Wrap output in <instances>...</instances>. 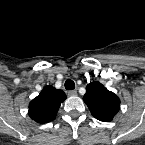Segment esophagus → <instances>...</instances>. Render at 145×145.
Wrapping results in <instances>:
<instances>
[{
  "mask_svg": "<svg viewBox=\"0 0 145 145\" xmlns=\"http://www.w3.org/2000/svg\"><path fill=\"white\" fill-rule=\"evenodd\" d=\"M67 94H68L69 96H76V95H77V90H69V91L67 92Z\"/></svg>",
  "mask_w": 145,
  "mask_h": 145,
  "instance_id": "34e87169",
  "label": "esophagus"
}]
</instances>
